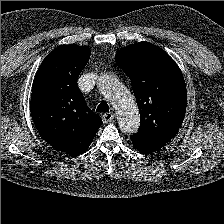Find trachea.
Masks as SVG:
<instances>
[{
  "mask_svg": "<svg viewBox=\"0 0 224 224\" xmlns=\"http://www.w3.org/2000/svg\"><path fill=\"white\" fill-rule=\"evenodd\" d=\"M97 112H100V113H106L109 111V106L108 104L105 102V101H102L98 106H97V109H96Z\"/></svg>",
  "mask_w": 224,
  "mask_h": 224,
  "instance_id": "1",
  "label": "trachea"
}]
</instances>
